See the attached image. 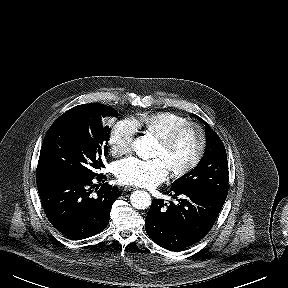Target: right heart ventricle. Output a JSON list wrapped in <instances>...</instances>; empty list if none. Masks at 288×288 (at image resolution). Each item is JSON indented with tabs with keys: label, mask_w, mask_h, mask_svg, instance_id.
Here are the masks:
<instances>
[{
	"label": "right heart ventricle",
	"mask_w": 288,
	"mask_h": 288,
	"mask_svg": "<svg viewBox=\"0 0 288 288\" xmlns=\"http://www.w3.org/2000/svg\"><path fill=\"white\" fill-rule=\"evenodd\" d=\"M187 121L186 117L170 111L142 114L133 119L137 128H142L145 132L156 138L161 137L172 128Z\"/></svg>",
	"instance_id": "obj_1"
}]
</instances>
